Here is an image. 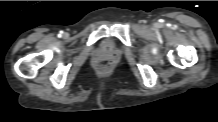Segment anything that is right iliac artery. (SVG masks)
Listing matches in <instances>:
<instances>
[{
	"instance_id": "obj_1",
	"label": "right iliac artery",
	"mask_w": 218,
	"mask_h": 122,
	"mask_svg": "<svg viewBox=\"0 0 218 122\" xmlns=\"http://www.w3.org/2000/svg\"><path fill=\"white\" fill-rule=\"evenodd\" d=\"M62 34H63V31H60L59 34H58V36L61 37Z\"/></svg>"
}]
</instances>
